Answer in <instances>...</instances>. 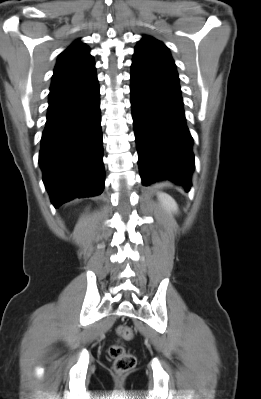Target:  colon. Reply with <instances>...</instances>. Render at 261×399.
<instances>
[{"instance_id": "colon-1", "label": "colon", "mask_w": 261, "mask_h": 399, "mask_svg": "<svg viewBox=\"0 0 261 399\" xmlns=\"http://www.w3.org/2000/svg\"><path fill=\"white\" fill-rule=\"evenodd\" d=\"M117 334L123 340L129 341L134 337V330L130 326L121 325L117 328ZM109 354L114 361V370L117 373L128 372L136 364L135 355L118 344L110 347Z\"/></svg>"}]
</instances>
